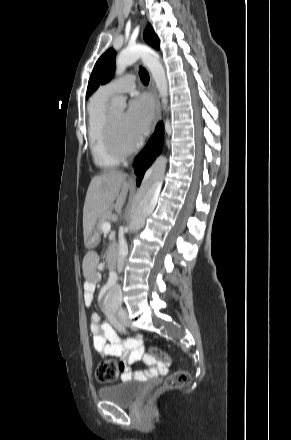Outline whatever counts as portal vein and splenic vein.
Wrapping results in <instances>:
<instances>
[{"mask_svg": "<svg viewBox=\"0 0 291 440\" xmlns=\"http://www.w3.org/2000/svg\"><path fill=\"white\" fill-rule=\"evenodd\" d=\"M102 230L104 233H109L111 230V225L109 222H104L102 225Z\"/></svg>", "mask_w": 291, "mask_h": 440, "instance_id": "1", "label": "portal vein and splenic vein"}]
</instances>
